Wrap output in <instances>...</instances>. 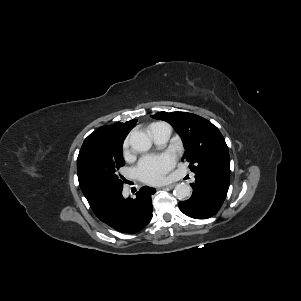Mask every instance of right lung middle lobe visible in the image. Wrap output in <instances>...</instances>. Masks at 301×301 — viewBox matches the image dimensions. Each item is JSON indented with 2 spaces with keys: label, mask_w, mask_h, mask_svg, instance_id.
<instances>
[{
  "label": "right lung middle lobe",
  "mask_w": 301,
  "mask_h": 301,
  "mask_svg": "<svg viewBox=\"0 0 301 301\" xmlns=\"http://www.w3.org/2000/svg\"><path fill=\"white\" fill-rule=\"evenodd\" d=\"M124 164L122 144L102 140L83 143L77 159L79 186L95 214L122 191L124 178L118 170Z\"/></svg>",
  "instance_id": "1"
}]
</instances>
